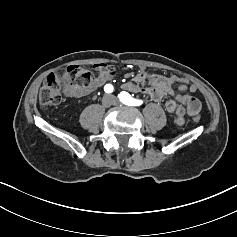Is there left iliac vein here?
Masks as SVG:
<instances>
[{"instance_id":"1","label":"left iliac vein","mask_w":237,"mask_h":237,"mask_svg":"<svg viewBox=\"0 0 237 237\" xmlns=\"http://www.w3.org/2000/svg\"><path fill=\"white\" fill-rule=\"evenodd\" d=\"M111 97L113 98V105H120V102L118 101V99L116 97H114L113 95H111Z\"/></svg>"}]
</instances>
